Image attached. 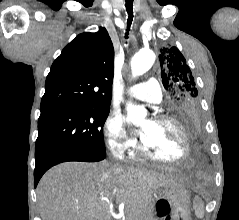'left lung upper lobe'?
<instances>
[{
  "label": "left lung upper lobe",
  "instance_id": "5c2ea615",
  "mask_svg": "<svg viewBox=\"0 0 239 220\" xmlns=\"http://www.w3.org/2000/svg\"><path fill=\"white\" fill-rule=\"evenodd\" d=\"M159 61L164 88L169 94L170 110L176 117L189 111L200 112L198 90L191 70L177 47L160 49Z\"/></svg>",
  "mask_w": 239,
  "mask_h": 220
}]
</instances>
